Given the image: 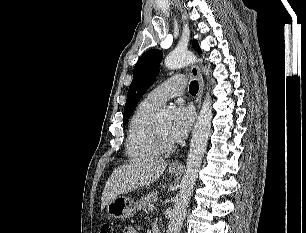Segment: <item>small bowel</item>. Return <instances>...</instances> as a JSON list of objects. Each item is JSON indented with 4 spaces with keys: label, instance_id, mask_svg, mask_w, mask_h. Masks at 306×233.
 Wrapping results in <instances>:
<instances>
[{
    "label": "small bowel",
    "instance_id": "small-bowel-1",
    "mask_svg": "<svg viewBox=\"0 0 306 233\" xmlns=\"http://www.w3.org/2000/svg\"><path fill=\"white\" fill-rule=\"evenodd\" d=\"M124 233H138V232H137V229L135 227H127L124 230Z\"/></svg>",
    "mask_w": 306,
    "mask_h": 233
}]
</instances>
